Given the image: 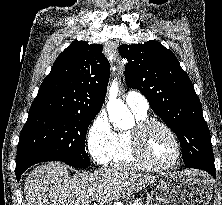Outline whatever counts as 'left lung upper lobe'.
I'll return each instance as SVG.
<instances>
[{
	"label": "left lung upper lobe",
	"mask_w": 222,
	"mask_h": 205,
	"mask_svg": "<svg viewBox=\"0 0 222 205\" xmlns=\"http://www.w3.org/2000/svg\"><path fill=\"white\" fill-rule=\"evenodd\" d=\"M119 51L129 61L127 86L141 91L152 110L175 132L182 155L192 153L214 162L199 97L175 55L157 41L121 45Z\"/></svg>",
	"instance_id": "5c2ea615"
}]
</instances>
